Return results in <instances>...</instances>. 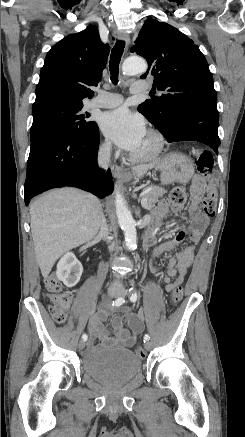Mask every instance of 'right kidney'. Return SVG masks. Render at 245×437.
I'll return each mask as SVG.
<instances>
[{"instance_id": "right-kidney-1", "label": "right kidney", "mask_w": 245, "mask_h": 437, "mask_svg": "<svg viewBox=\"0 0 245 437\" xmlns=\"http://www.w3.org/2000/svg\"><path fill=\"white\" fill-rule=\"evenodd\" d=\"M83 267L71 252L66 253L57 264V278L67 287L75 286L82 275Z\"/></svg>"}]
</instances>
